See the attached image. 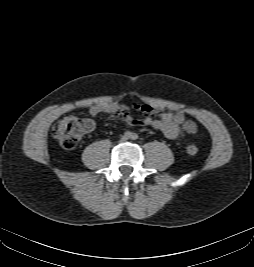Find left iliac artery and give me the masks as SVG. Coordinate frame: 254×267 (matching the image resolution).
I'll return each mask as SVG.
<instances>
[{"label":"left iliac artery","instance_id":"left-iliac-artery-1","mask_svg":"<svg viewBox=\"0 0 254 267\" xmlns=\"http://www.w3.org/2000/svg\"><path fill=\"white\" fill-rule=\"evenodd\" d=\"M132 139H133V140L138 139V135H137V134H133V135H132Z\"/></svg>","mask_w":254,"mask_h":267}]
</instances>
